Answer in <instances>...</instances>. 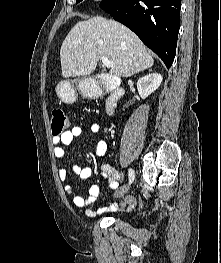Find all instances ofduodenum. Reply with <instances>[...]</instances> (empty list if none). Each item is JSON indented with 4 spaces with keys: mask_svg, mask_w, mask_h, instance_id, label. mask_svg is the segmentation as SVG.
Listing matches in <instances>:
<instances>
[{
    "mask_svg": "<svg viewBox=\"0 0 221 263\" xmlns=\"http://www.w3.org/2000/svg\"><path fill=\"white\" fill-rule=\"evenodd\" d=\"M97 81L101 90L109 93L105 101V110L108 114H111L123 97L124 90L120 86L119 79L111 74L103 73L97 77Z\"/></svg>",
    "mask_w": 221,
    "mask_h": 263,
    "instance_id": "410a0bca",
    "label": "duodenum"
}]
</instances>
